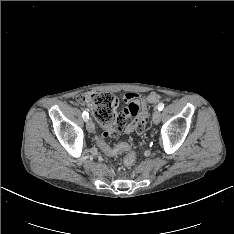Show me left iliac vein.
<instances>
[{
    "label": "left iliac vein",
    "mask_w": 234,
    "mask_h": 234,
    "mask_svg": "<svg viewBox=\"0 0 234 234\" xmlns=\"http://www.w3.org/2000/svg\"><path fill=\"white\" fill-rule=\"evenodd\" d=\"M152 120L154 124H158L161 120V112L159 110H155L152 116Z\"/></svg>",
    "instance_id": "1"
}]
</instances>
